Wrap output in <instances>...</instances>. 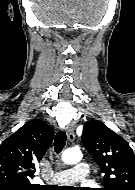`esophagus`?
<instances>
[{
    "mask_svg": "<svg viewBox=\"0 0 135 190\" xmlns=\"http://www.w3.org/2000/svg\"><path fill=\"white\" fill-rule=\"evenodd\" d=\"M65 131H66V133H67L68 140H69L70 142L74 141V139H75V134H74V129H73V127H72L71 125H68V126H66Z\"/></svg>",
    "mask_w": 135,
    "mask_h": 190,
    "instance_id": "1",
    "label": "esophagus"
}]
</instances>
